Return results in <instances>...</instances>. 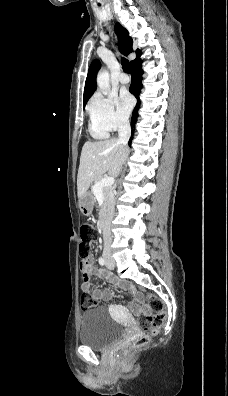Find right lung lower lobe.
I'll use <instances>...</instances> for the list:
<instances>
[{
    "label": "right lung lower lobe",
    "mask_w": 228,
    "mask_h": 396,
    "mask_svg": "<svg viewBox=\"0 0 228 396\" xmlns=\"http://www.w3.org/2000/svg\"><path fill=\"white\" fill-rule=\"evenodd\" d=\"M141 64L142 61L141 59L135 63L132 66V83L130 85L129 91L136 97L139 98V94H140V89L142 88V84H141V76L143 74V71L141 69ZM138 109H139V105H137L133 111L132 114V118H131V127L134 128L135 127V122L137 120L138 117ZM133 135V132H132ZM129 146L131 145V140L129 141Z\"/></svg>",
    "instance_id": "98d812e1"
}]
</instances>
